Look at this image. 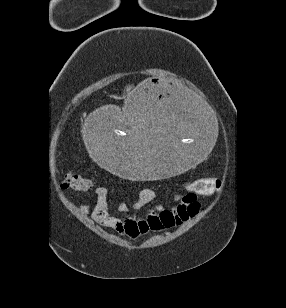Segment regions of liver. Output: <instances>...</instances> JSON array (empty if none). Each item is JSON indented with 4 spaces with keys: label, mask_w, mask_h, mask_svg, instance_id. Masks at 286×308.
Segmentation results:
<instances>
[{
    "label": "liver",
    "mask_w": 286,
    "mask_h": 308,
    "mask_svg": "<svg viewBox=\"0 0 286 308\" xmlns=\"http://www.w3.org/2000/svg\"><path fill=\"white\" fill-rule=\"evenodd\" d=\"M132 89V86H128L127 88H126V92L128 93V92H130V90ZM127 105V104H126ZM126 110L124 111V113H123V115L122 114H120V117L122 118V119H124L125 118V116H126Z\"/></svg>",
    "instance_id": "liver-1"
}]
</instances>
